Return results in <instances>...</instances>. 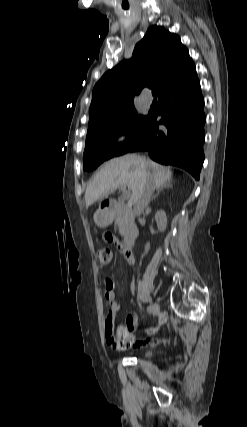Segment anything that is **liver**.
I'll return each mask as SVG.
<instances>
[{"label": "liver", "mask_w": 247, "mask_h": 427, "mask_svg": "<svg viewBox=\"0 0 247 427\" xmlns=\"http://www.w3.org/2000/svg\"><path fill=\"white\" fill-rule=\"evenodd\" d=\"M148 176L153 179L155 187L160 188L171 180L172 171L135 154L111 159L88 184L85 192L86 206L107 198L110 191L125 186L132 191L131 201L134 202L143 190Z\"/></svg>", "instance_id": "obj_1"}]
</instances>
